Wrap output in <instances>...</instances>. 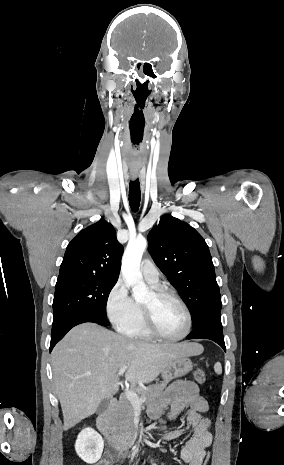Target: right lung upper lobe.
<instances>
[{
	"label": "right lung upper lobe",
	"mask_w": 284,
	"mask_h": 465,
	"mask_svg": "<svg viewBox=\"0 0 284 465\" xmlns=\"http://www.w3.org/2000/svg\"><path fill=\"white\" fill-rule=\"evenodd\" d=\"M123 246L114 227L101 219L68 244L58 278L70 276L118 280Z\"/></svg>",
	"instance_id": "obj_1"
}]
</instances>
